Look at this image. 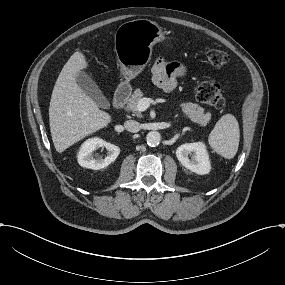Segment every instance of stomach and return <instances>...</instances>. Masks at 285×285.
<instances>
[{
	"label": "stomach",
	"instance_id": "1",
	"mask_svg": "<svg viewBox=\"0 0 285 285\" xmlns=\"http://www.w3.org/2000/svg\"><path fill=\"white\" fill-rule=\"evenodd\" d=\"M157 43H163L167 52H172L175 47L173 40L165 36L163 28L155 21L136 19L118 27L114 50L126 82L138 76L148 65Z\"/></svg>",
	"mask_w": 285,
	"mask_h": 285
}]
</instances>
